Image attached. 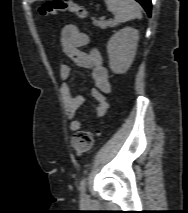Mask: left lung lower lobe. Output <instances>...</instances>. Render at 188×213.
<instances>
[{
	"label": "left lung lower lobe",
	"mask_w": 188,
	"mask_h": 213,
	"mask_svg": "<svg viewBox=\"0 0 188 213\" xmlns=\"http://www.w3.org/2000/svg\"><path fill=\"white\" fill-rule=\"evenodd\" d=\"M137 2H139L143 8L146 10V12L148 13V15H151V0H136Z\"/></svg>",
	"instance_id": "1"
}]
</instances>
